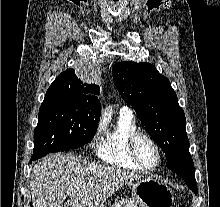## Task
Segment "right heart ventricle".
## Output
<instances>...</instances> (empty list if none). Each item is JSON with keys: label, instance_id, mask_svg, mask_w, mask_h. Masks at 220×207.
Listing matches in <instances>:
<instances>
[{"label": "right heart ventricle", "instance_id": "right-heart-ventricle-1", "mask_svg": "<svg viewBox=\"0 0 220 207\" xmlns=\"http://www.w3.org/2000/svg\"><path fill=\"white\" fill-rule=\"evenodd\" d=\"M135 119L131 113L120 112L114 126L105 130L97 147L98 157L105 163L133 171L143 170L130 156L128 141L137 131Z\"/></svg>", "mask_w": 220, "mask_h": 207}]
</instances>
